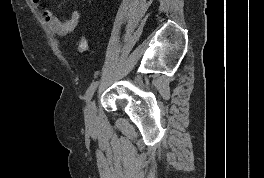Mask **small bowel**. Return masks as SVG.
Masks as SVG:
<instances>
[{"label":"small bowel","instance_id":"small-bowel-1","mask_svg":"<svg viewBox=\"0 0 264 178\" xmlns=\"http://www.w3.org/2000/svg\"><path fill=\"white\" fill-rule=\"evenodd\" d=\"M32 1L41 10L46 25L55 34L62 37H66L74 32L80 20V11L77 2H75L73 5V9L70 17L66 20H63L60 19L52 11L47 9L43 5V0H32Z\"/></svg>","mask_w":264,"mask_h":178}]
</instances>
